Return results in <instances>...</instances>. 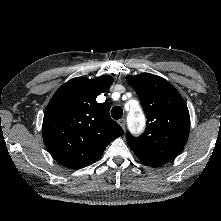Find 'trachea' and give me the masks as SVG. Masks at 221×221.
I'll use <instances>...</instances> for the list:
<instances>
[{"mask_svg": "<svg viewBox=\"0 0 221 221\" xmlns=\"http://www.w3.org/2000/svg\"><path fill=\"white\" fill-rule=\"evenodd\" d=\"M123 110L120 106H114L111 110V116L113 119L118 120L122 117Z\"/></svg>", "mask_w": 221, "mask_h": 221, "instance_id": "trachea-1", "label": "trachea"}]
</instances>
